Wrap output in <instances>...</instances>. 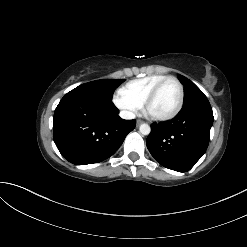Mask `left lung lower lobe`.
Instances as JSON below:
<instances>
[{"label": "left lung lower lobe", "mask_w": 247, "mask_h": 247, "mask_svg": "<svg viewBox=\"0 0 247 247\" xmlns=\"http://www.w3.org/2000/svg\"><path fill=\"white\" fill-rule=\"evenodd\" d=\"M213 123L207 98L183 105L170 121L151 125L147 148L162 166L178 172L189 171L205 153Z\"/></svg>", "instance_id": "1"}]
</instances>
